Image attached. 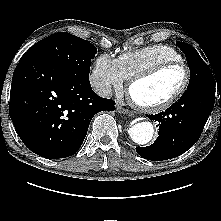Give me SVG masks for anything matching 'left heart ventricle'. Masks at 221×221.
<instances>
[{
    "label": "left heart ventricle",
    "mask_w": 221,
    "mask_h": 221,
    "mask_svg": "<svg viewBox=\"0 0 221 221\" xmlns=\"http://www.w3.org/2000/svg\"><path fill=\"white\" fill-rule=\"evenodd\" d=\"M185 71L180 66L168 68L155 76L137 83L132 89L133 97L145 105L164 102L182 85Z\"/></svg>",
    "instance_id": "left-heart-ventricle-1"
}]
</instances>
